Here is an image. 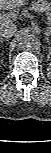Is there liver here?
Masks as SVG:
<instances>
[{"instance_id": "obj_1", "label": "liver", "mask_w": 51, "mask_h": 153, "mask_svg": "<svg viewBox=\"0 0 51 153\" xmlns=\"http://www.w3.org/2000/svg\"><path fill=\"white\" fill-rule=\"evenodd\" d=\"M28 1L29 0H0V9L1 10H12L16 7L24 6L25 4L28 3ZM6 22H12V21L10 20L2 21L1 20V24L6 23Z\"/></svg>"}]
</instances>
